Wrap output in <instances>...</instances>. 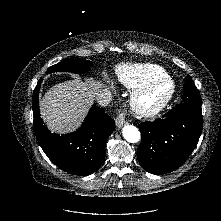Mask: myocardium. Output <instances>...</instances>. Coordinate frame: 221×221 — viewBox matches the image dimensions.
Masks as SVG:
<instances>
[{
	"mask_svg": "<svg viewBox=\"0 0 221 221\" xmlns=\"http://www.w3.org/2000/svg\"><path fill=\"white\" fill-rule=\"evenodd\" d=\"M165 87V93L151 105L143 103L145 96L153 92L158 87ZM175 93V84L168 76L155 78L146 84L135 89L130 98L132 110L144 118L154 117L159 114L172 100Z\"/></svg>",
	"mask_w": 221,
	"mask_h": 221,
	"instance_id": "myocardium-1",
	"label": "myocardium"
}]
</instances>
